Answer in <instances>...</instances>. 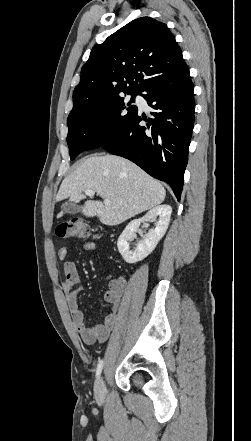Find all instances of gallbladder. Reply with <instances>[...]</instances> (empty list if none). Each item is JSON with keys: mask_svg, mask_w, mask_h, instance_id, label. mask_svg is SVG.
I'll return each instance as SVG.
<instances>
[{"mask_svg": "<svg viewBox=\"0 0 251 441\" xmlns=\"http://www.w3.org/2000/svg\"><path fill=\"white\" fill-rule=\"evenodd\" d=\"M79 209H80L79 206L73 202L66 203L63 206V210L65 211V213H69V214H76L79 212Z\"/></svg>", "mask_w": 251, "mask_h": 441, "instance_id": "1", "label": "gallbladder"}]
</instances>
